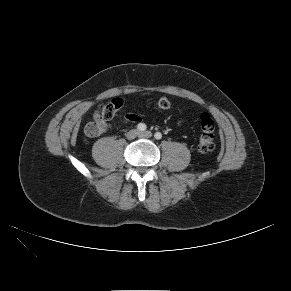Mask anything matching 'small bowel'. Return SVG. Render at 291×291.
Segmentation results:
<instances>
[{
	"label": "small bowel",
	"mask_w": 291,
	"mask_h": 291,
	"mask_svg": "<svg viewBox=\"0 0 291 291\" xmlns=\"http://www.w3.org/2000/svg\"><path fill=\"white\" fill-rule=\"evenodd\" d=\"M120 100V99H119ZM122 101V100H121ZM124 120L126 122H131V123H138L141 121V117L136 114V113H127L125 116H124Z\"/></svg>",
	"instance_id": "obj_1"
}]
</instances>
